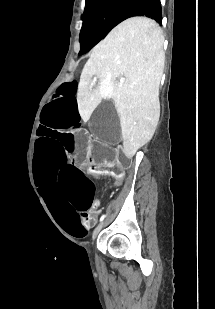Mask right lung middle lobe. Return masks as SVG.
I'll use <instances>...</instances> for the list:
<instances>
[{"instance_id": "dd1d6c3e", "label": "right lung middle lobe", "mask_w": 215, "mask_h": 309, "mask_svg": "<svg viewBox=\"0 0 215 309\" xmlns=\"http://www.w3.org/2000/svg\"><path fill=\"white\" fill-rule=\"evenodd\" d=\"M129 2L130 0H86L79 55L88 52L116 26L117 19Z\"/></svg>"}]
</instances>
